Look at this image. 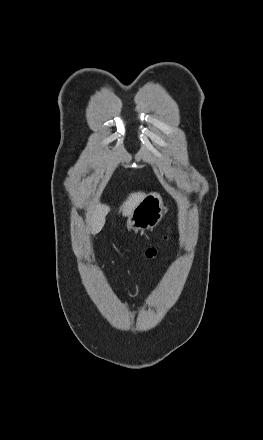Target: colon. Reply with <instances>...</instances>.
Listing matches in <instances>:
<instances>
[{
    "label": "colon",
    "instance_id": "1",
    "mask_svg": "<svg viewBox=\"0 0 263 440\" xmlns=\"http://www.w3.org/2000/svg\"><path fill=\"white\" fill-rule=\"evenodd\" d=\"M168 239H169L168 235H165V236L163 237V241H164V242H167ZM157 254H158V247H157V246H151V247H148V248L146 249V251H145V256H146V258H148V259H153V258H155V257L157 256Z\"/></svg>",
    "mask_w": 263,
    "mask_h": 440
}]
</instances>
